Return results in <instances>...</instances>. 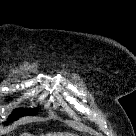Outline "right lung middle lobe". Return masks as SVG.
<instances>
[{
    "mask_svg": "<svg viewBox=\"0 0 136 136\" xmlns=\"http://www.w3.org/2000/svg\"><path fill=\"white\" fill-rule=\"evenodd\" d=\"M37 112H38L37 108H32V109H27V110H15L9 116V121L14 120V119L16 120V119H18V117H22V116H33Z\"/></svg>",
    "mask_w": 136,
    "mask_h": 136,
    "instance_id": "obj_1",
    "label": "right lung middle lobe"
}]
</instances>
